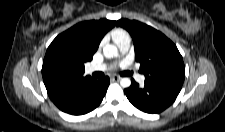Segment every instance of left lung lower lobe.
Wrapping results in <instances>:
<instances>
[{"instance_id": "obj_1", "label": "left lung lower lobe", "mask_w": 225, "mask_h": 132, "mask_svg": "<svg viewBox=\"0 0 225 132\" xmlns=\"http://www.w3.org/2000/svg\"><path fill=\"white\" fill-rule=\"evenodd\" d=\"M180 86L145 81L140 87L133 79L131 86L124 90L128 100L139 110L146 113H160L169 107L178 96Z\"/></svg>"}]
</instances>
